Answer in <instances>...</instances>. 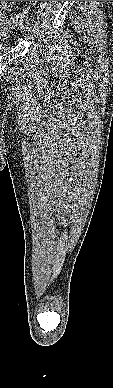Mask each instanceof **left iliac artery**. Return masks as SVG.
<instances>
[{"label": "left iliac artery", "instance_id": "left-iliac-artery-1", "mask_svg": "<svg viewBox=\"0 0 113 388\" xmlns=\"http://www.w3.org/2000/svg\"><path fill=\"white\" fill-rule=\"evenodd\" d=\"M25 21L28 24H32L34 20L31 17H26Z\"/></svg>", "mask_w": 113, "mask_h": 388}]
</instances>
